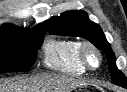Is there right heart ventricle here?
<instances>
[{
	"mask_svg": "<svg viewBox=\"0 0 127 92\" xmlns=\"http://www.w3.org/2000/svg\"><path fill=\"white\" fill-rule=\"evenodd\" d=\"M80 42L71 38H50L43 48V65L52 71L79 75L86 71V68L79 60Z\"/></svg>",
	"mask_w": 127,
	"mask_h": 92,
	"instance_id": "e07e8e85",
	"label": "right heart ventricle"
}]
</instances>
